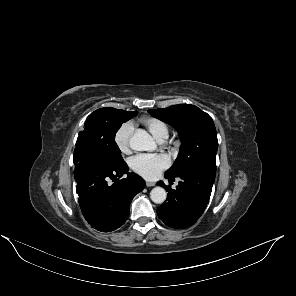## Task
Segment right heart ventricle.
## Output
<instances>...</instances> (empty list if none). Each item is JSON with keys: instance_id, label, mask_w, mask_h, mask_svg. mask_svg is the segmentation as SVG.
Here are the masks:
<instances>
[{"instance_id": "1", "label": "right heart ventricle", "mask_w": 296, "mask_h": 296, "mask_svg": "<svg viewBox=\"0 0 296 296\" xmlns=\"http://www.w3.org/2000/svg\"><path fill=\"white\" fill-rule=\"evenodd\" d=\"M140 123L152 134L157 140H165L169 135L168 125L161 119L156 117H143Z\"/></svg>"}]
</instances>
